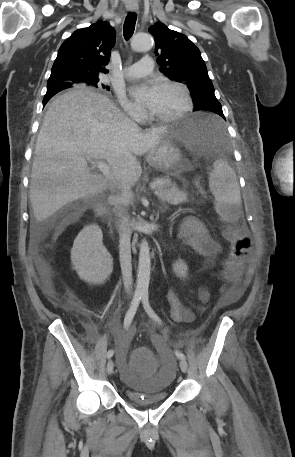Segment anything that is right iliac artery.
I'll list each match as a JSON object with an SVG mask.
<instances>
[{"instance_id":"1","label":"right iliac artery","mask_w":295,"mask_h":457,"mask_svg":"<svg viewBox=\"0 0 295 457\" xmlns=\"http://www.w3.org/2000/svg\"><path fill=\"white\" fill-rule=\"evenodd\" d=\"M141 298H142V295L141 294H135L134 295V298L132 300V303H131V306L129 308V310L127 311L126 315H125V318H124V327L127 329L133 318H134V315L137 311V308L140 304V301H141ZM114 354V351L113 350H109L107 352V358H111Z\"/></svg>"}]
</instances>
